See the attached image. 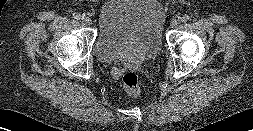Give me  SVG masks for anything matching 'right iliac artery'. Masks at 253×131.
<instances>
[{"label":"right iliac artery","instance_id":"1","mask_svg":"<svg viewBox=\"0 0 253 131\" xmlns=\"http://www.w3.org/2000/svg\"><path fill=\"white\" fill-rule=\"evenodd\" d=\"M83 17H84V16H81L80 13H77V12H74V13H73V18H74V19L79 20V19H81V18H83Z\"/></svg>","mask_w":253,"mask_h":131}]
</instances>
